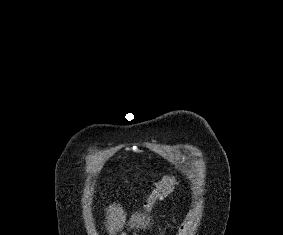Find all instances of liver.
<instances>
[{"label":"liver","instance_id":"liver-1","mask_svg":"<svg viewBox=\"0 0 283 235\" xmlns=\"http://www.w3.org/2000/svg\"><path fill=\"white\" fill-rule=\"evenodd\" d=\"M107 230L109 235H115L117 232L123 229L126 215L123 208L120 205H111L107 209ZM151 217L142 216L138 213L132 215L130 222L137 224V229L146 228L149 226Z\"/></svg>","mask_w":283,"mask_h":235}]
</instances>
